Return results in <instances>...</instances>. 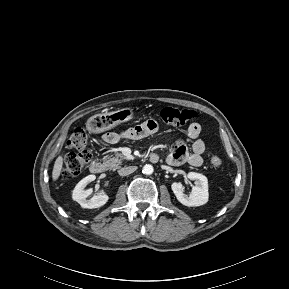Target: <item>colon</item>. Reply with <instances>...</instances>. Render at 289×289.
<instances>
[{"instance_id":"5ec220e1","label":"colon","mask_w":289,"mask_h":289,"mask_svg":"<svg viewBox=\"0 0 289 289\" xmlns=\"http://www.w3.org/2000/svg\"><path fill=\"white\" fill-rule=\"evenodd\" d=\"M160 119L172 126H182L196 117V112L188 109H178L164 107L158 112ZM68 148L76 152L70 153L64 162L62 176L64 179H71L78 176L91 159V154L87 149V135L82 128H75L68 139ZM210 162L214 167L222 164V159L218 155H212Z\"/></svg>"}]
</instances>
